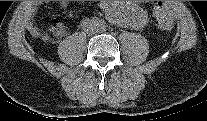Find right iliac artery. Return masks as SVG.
Segmentation results:
<instances>
[{"mask_svg": "<svg viewBox=\"0 0 207 121\" xmlns=\"http://www.w3.org/2000/svg\"><path fill=\"white\" fill-rule=\"evenodd\" d=\"M92 21H93L94 23H97L99 20H98L97 18H93Z\"/></svg>", "mask_w": 207, "mask_h": 121, "instance_id": "1", "label": "right iliac artery"}]
</instances>
